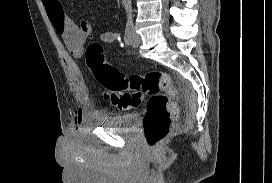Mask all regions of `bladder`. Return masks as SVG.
I'll return each instance as SVG.
<instances>
[{
    "mask_svg": "<svg viewBox=\"0 0 272 183\" xmlns=\"http://www.w3.org/2000/svg\"><path fill=\"white\" fill-rule=\"evenodd\" d=\"M139 115L137 113H124L119 115L103 116L97 121L107 129L123 132H133L138 125Z\"/></svg>",
    "mask_w": 272,
    "mask_h": 183,
    "instance_id": "31cf9c89",
    "label": "bladder"
}]
</instances>
